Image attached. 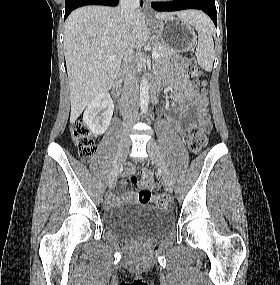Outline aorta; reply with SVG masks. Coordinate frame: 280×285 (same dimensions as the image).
Masks as SVG:
<instances>
[{
	"instance_id": "aorta-1",
	"label": "aorta",
	"mask_w": 280,
	"mask_h": 285,
	"mask_svg": "<svg viewBox=\"0 0 280 285\" xmlns=\"http://www.w3.org/2000/svg\"><path fill=\"white\" fill-rule=\"evenodd\" d=\"M149 104V83L144 77L140 82V107L142 113L146 114L148 111Z\"/></svg>"
}]
</instances>
